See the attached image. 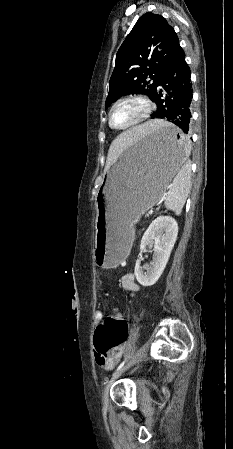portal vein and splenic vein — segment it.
Listing matches in <instances>:
<instances>
[{"mask_svg": "<svg viewBox=\"0 0 233 449\" xmlns=\"http://www.w3.org/2000/svg\"><path fill=\"white\" fill-rule=\"evenodd\" d=\"M153 212H154L153 209H151L148 211V214H153Z\"/></svg>", "mask_w": 233, "mask_h": 449, "instance_id": "18ae733b", "label": "portal vein and splenic vein"}]
</instances>
